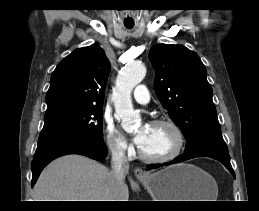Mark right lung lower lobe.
<instances>
[{"mask_svg":"<svg viewBox=\"0 0 259 211\" xmlns=\"http://www.w3.org/2000/svg\"><path fill=\"white\" fill-rule=\"evenodd\" d=\"M67 154H80L94 160H104L107 147L102 140L82 135H56L38 139V146L32 160V187L41 171L52 160Z\"/></svg>","mask_w":259,"mask_h":211,"instance_id":"right-lung-lower-lobe-1","label":"right lung lower lobe"}]
</instances>
